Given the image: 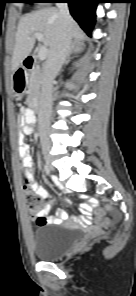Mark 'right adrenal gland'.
I'll use <instances>...</instances> for the list:
<instances>
[{
	"label": "right adrenal gland",
	"instance_id": "2a0ac1e0",
	"mask_svg": "<svg viewBox=\"0 0 136 296\" xmlns=\"http://www.w3.org/2000/svg\"><path fill=\"white\" fill-rule=\"evenodd\" d=\"M81 52V47H80V44L79 43H73L70 47V50L68 52V55H67V60L65 61V63H68L70 60V55L74 54V55H77L78 53Z\"/></svg>",
	"mask_w": 136,
	"mask_h": 296
}]
</instances>
